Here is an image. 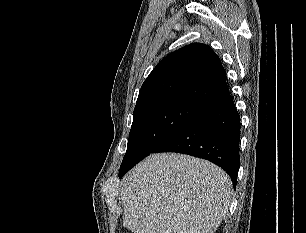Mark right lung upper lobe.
<instances>
[{"label": "right lung upper lobe", "instance_id": "cb5924a9", "mask_svg": "<svg viewBox=\"0 0 306 233\" xmlns=\"http://www.w3.org/2000/svg\"><path fill=\"white\" fill-rule=\"evenodd\" d=\"M228 93L219 57L209 46L193 43L157 64L139 91L135 109L167 98L186 99L205 106Z\"/></svg>", "mask_w": 306, "mask_h": 233}]
</instances>
